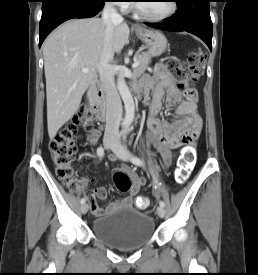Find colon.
<instances>
[{
  "label": "colon",
  "mask_w": 258,
  "mask_h": 275,
  "mask_svg": "<svg viewBox=\"0 0 258 275\" xmlns=\"http://www.w3.org/2000/svg\"><path fill=\"white\" fill-rule=\"evenodd\" d=\"M204 64L205 56L197 51H192L187 55L185 61L178 59L169 60L167 67L179 79V88L187 91L192 89L196 81L202 76ZM79 127L83 129H91L93 127V115L85 107L77 111L71 122L61 128L49 144L57 176L71 189H75L78 186L72 162L76 154L75 137ZM193 161L192 147H187L184 154L179 158L175 171V181L178 184H183L187 180ZM113 181L119 191H130L132 182L126 173L115 172ZM135 203L138 208L145 209L149 205V199L145 196H139L136 198Z\"/></svg>",
  "instance_id": "colon-1"
}]
</instances>
